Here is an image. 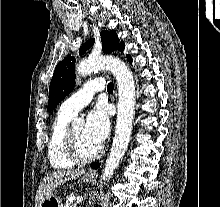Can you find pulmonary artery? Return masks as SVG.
<instances>
[{
  "label": "pulmonary artery",
  "mask_w": 220,
  "mask_h": 207,
  "mask_svg": "<svg viewBox=\"0 0 220 207\" xmlns=\"http://www.w3.org/2000/svg\"><path fill=\"white\" fill-rule=\"evenodd\" d=\"M105 88V81L102 78H95L88 81L81 89L66 99L60 106V112L75 116L93 98L96 92Z\"/></svg>",
  "instance_id": "obj_1"
}]
</instances>
